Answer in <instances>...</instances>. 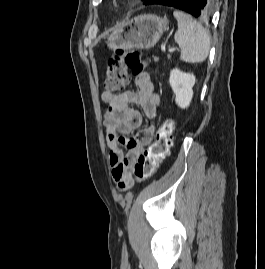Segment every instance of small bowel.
<instances>
[{"mask_svg":"<svg viewBox=\"0 0 265 269\" xmlns=\"http://www.w3.org/2000/svg\"><path fill=\"white\" fill-rule=\"evenodd\" d=\"M137 90L123 94L104 91L101 95L107 109L104 126L107 132V143L110 149V165L112 178L120 189L125 190L131 185L130 169L144 147L151 141L153 129H142L136 136L131 133L141 126L142 114L131 107H141L144 115L152 119L159 110L160 98L155 91L150 76L141 72L136 75ZM123 147L127 149L125 154Z\"/></svg>","mask_w":265,"mask_h":269,"instance_id":"small-bowel-1","label":"small bowel"}]
</instances>
